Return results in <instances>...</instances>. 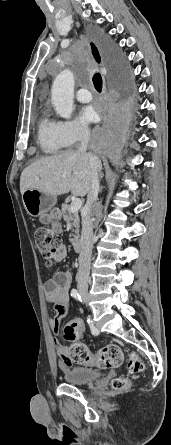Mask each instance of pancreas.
<instances>
[{"label": "pancreas", "instance_id": "obj_1", "mask_svg": "<svg viewBox=\"0 0 171 445\" xmlns=\"http://www.w3.org/2000/svg\"><path fill=\"white\" fill-rule=\"evenodd\" d=\"M62 215H63V220L66 222L71 223V225L75 228L74 230V238H71L70 241L72 243L76 242L79 238V215L78 212H70V206L67 204H63L62 205Z\"/></svg>", "mask_w": 171, "mask_h": 445}]
</instances>
